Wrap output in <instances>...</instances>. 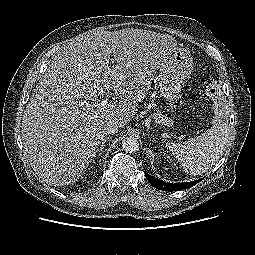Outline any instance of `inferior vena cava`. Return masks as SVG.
<instances>
[{"instance_id": "obj_1", "label": "inferior vena cava", "mask_w": 255, "mask_h": 255, "mask_svg": "<svg viewBox=\"0 0 255 255\" xmlns=\"http://www.w3.org/2000/svg\"><path fill=\"white\" fill-rule=\"evenodd\" d=\"M119 125L116 121H108L105 125V133L107 134H114L118 131Z\"/></svg>"}]
</instances>
